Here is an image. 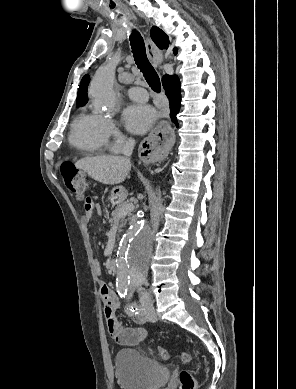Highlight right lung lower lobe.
Listing matches in <instances>:
<instances>
[{
	"label": "right lung lower lobe",
	"instance_id": "98d812e1",
	"mask_svg": "<svg viewBox=\"0 0 296 389\" xmlns=\"http://www.w3.org/2000/svg\"><path fill=\"white\" fill-rule=\"evenodd\" d=\"M165 93L169 98L170 111H171V120L178 127L177 114L180 110L181 102V89L180 82L176 76H169L164 81H162Z\"/></svg>",
	"mask_w": 296,
	"mask_h": 389
}]
</instances>
